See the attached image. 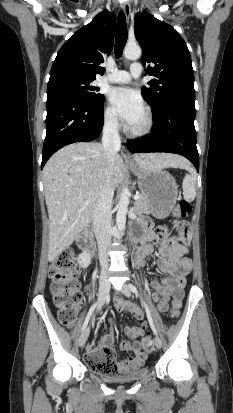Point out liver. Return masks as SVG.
<instances>
[{
	"label": "liver",
	"instance_id": "6515ba94",
	"mask_svg": "<svg viewBox=\"0 0 233 413\" xmlns=\"http://www.w3.org/2000/svg\"><path fill=\"white\" fill-rule=\"evenodd\" d=\"M133 158L143 170L189 167L186 159L174 154H136ZM107 168L106 152L97 142L65 146L44 166V194L50 221L49 262L88 226L106 182ZM124 174L123 158L117 154L112 166L114 189L122 182Z\"/></svg>",
	"mask_w": 233,
	"mask_h": 413
}]
</instances>
